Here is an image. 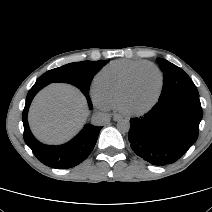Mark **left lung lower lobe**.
<instances>
[{
    "label": "left lung lower lobe",
    "instance_id": "left-lung-lower-lobe-1",
    "mask_svg": "<svg viewBox=\"0 0 212 212\" xmlns=\"http://www.w3.org/2000/svg\"><path fill=\"white\" fill-rule=\"evenodd\" d=\"M202 115L199 97L176 94L159 99L144 116L130 119V146L153 165L172 164L197 140Z\"/></svg>",
    "mask_w": 212,
    "mask_h": 212
}]
</instances>
